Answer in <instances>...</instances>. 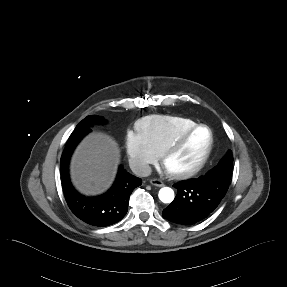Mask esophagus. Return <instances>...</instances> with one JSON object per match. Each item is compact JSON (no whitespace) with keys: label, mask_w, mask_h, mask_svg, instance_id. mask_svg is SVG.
<instances>
[{"label":"esophagus","mask_w":287,"mask_h":287,"mask_svg":"<svg viewBox=\"0 0 287 287\" xmlns=\"http://www.w3.org/2000/svg\"><path fill=\"white\" fill-rule=\"evenodd\" d=\"M150 183L153 185V186H157V187H163L164 186V183L159 180V179H150Z\"/></svg>","instance_id":"esophagus-1"}]
</instances>
